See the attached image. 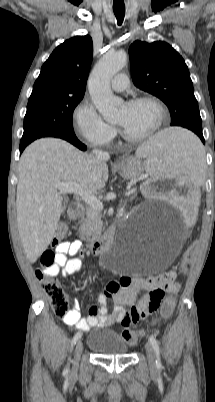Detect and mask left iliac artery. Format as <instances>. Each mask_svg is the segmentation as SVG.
Returning a JSON list of instances; mask_svg holds the SVG:
<instances>
[{
    "mask_svg": "<svg viewBox=\"0 0 215 402\" xmlns=\"http://www.w3.org/2000/svg\"><path fill=\"white\" fill-rule=\"evenodd\" d=\"M149 342L152 345L154 352L156 354V366L158 368H161L162 364H161V360H160V351H159L158 341L156 340V338L154 336H150Z\"/></svg>",
    "mask_w": 215,
    "mask_h": 402,
    "instance_id": "obj_1",
    "label": "left iliac artery"
}]
</instances>
